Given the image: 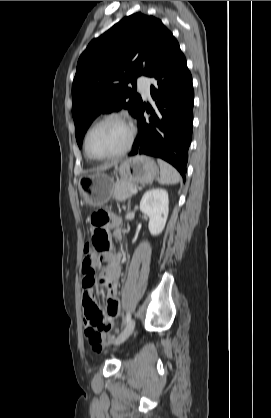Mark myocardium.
<instances>
[{"label":"myocardium","mask_w":271,"mask_h":418,"mask_svg":"<svg viewBox=\"0 0 271 418\" xmlns=\"http://www.w3.org/2000/svg\"><path fill=\"white\" fill-rule=\"evenodd\" d=\"M113 120L114 121H120L128 127L129 136H128V140H127L126 144L124 145V147L122 149H120L119 151H117L115 153L105 155V156H95V155H93L90 152L89 146H88L89 137H90L91 133L100 124H102L104 122H107V121H113ZM135 136H136L135 126L133 125V123L126 116H124L122 114H117V113L107 114V115L101 117L100 119H98L97 121H95L91 125V127L88 129V131L85 135V139H84V149H85V152H86L87 156L92 160L104 161V160H110V159L118 158V157H121V156L125 155L127 152H129V150L131 149V147L133 145Z\"/></svg>","instance_id":"f54148a6"}]
</instances>
